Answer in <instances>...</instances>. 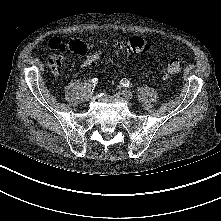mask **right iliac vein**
I'll return each mask as SVG.
<instances>
[{"label":"right iliac vein","mask_w":221,"mask_h":221,"mask_svg":"<svg viewBox=\"0 0 221 221\" xmlns=\"http://www.w3.org/2000/svg\"><path fill=\"white\" fill-rule=\"evenodd\" d=\"M92 95H93V94H92L91 91L86 90L85 93H84V98H85V100L91 99Z\"/></svg>","instance_id":"1"}]
</instances>
